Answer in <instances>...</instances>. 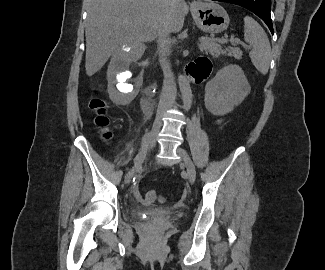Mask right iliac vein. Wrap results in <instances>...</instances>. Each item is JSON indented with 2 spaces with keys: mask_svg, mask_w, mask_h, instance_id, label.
<instances>
[{
  "mask_svg": "<svg viewBox=\"0 0 325 270\" xmlns=\"http://www.w3.org/2000/svg\"><path fill=\"white\" fill-rule=\"evenodd\" d=\"M160 129H161V124L160 123H155L153 125L151 131L148 134V146H147V149H146L145 153L143 154V156H141L137 161H135V164L132 167V169H130L128 171V173L126 174V176H125V182L126 183H129L131 181V179L134 176L135 171L143 163V161H144V159L146 157L147 151L150 150L155 145L156 139H157V136H158V133H159Z\"/></svg>",
  "mask_w": 325,
  "mask_h": 270,
  "instance_id": "right-iliac-vein-1",
  "label": "right iliac vein"
}]
</instances>
